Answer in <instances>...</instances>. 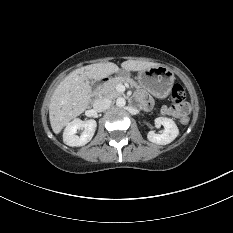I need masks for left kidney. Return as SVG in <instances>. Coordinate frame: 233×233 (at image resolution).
<instances>
[{
    "label": "left kidney",
    "instance_id": "5707ae66",
    "mask_svg": "<svg viewBox=\"0 0 233 233\" xmlns=\"http://www.w3.org/2000/svg\"><path fill=\"white\" fill-rule=\"evenodd\" d=\"M155 123L164 126V131L161 134H156L154 131H150L147 138L152 143L159 145H166L171 143L179 134V129L175 122L166 117H158L155 119Z\"/></svg>",
    "mask_w": 233,
    "mask_h": 233
}]
</instances>
